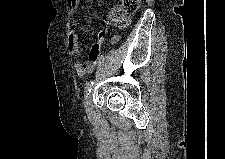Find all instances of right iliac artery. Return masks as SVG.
Returning <instances> with one entry per match:
<instances>
[{
  "mask_svg": "<svg viewBox=\"0 0 225 159\" xmlns=\"http://www.w3.org/2000/svg\"><path fill=\"white\" fill-rule=\"evenodd\" d=\"M94 85L93 81H90L89 83H87L86 87H85V97H87L89 95V93L91 92V88Z\"/></svg>",
  "mask_w": 225,
  "mask_h": 159,
  "instance_id": "82829eb1",
  "label": "right iliac artery"
}]
</instances>
